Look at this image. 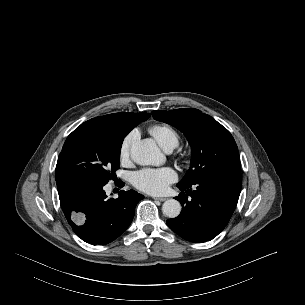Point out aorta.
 I'll return each mask as SVG.
<instances>
[{"instance_id": "1", "label": "aorta", "mask_w": 305, "mask_h": 305, "mask_svg": "<svg viewBox=\"0 0 305 305\" xmlns=\"http://www.w3.org/2000/svg\"><path fill=\"white\" fill-rule=\"evenodd\" d=\"M130 155L139 165H160L165 159L158 146L149 139L135 142L130 148ZM162 211L165 216L175 218L181 212V204L175 199H168L163 203Z\"/></svg>"}]
</instances>
